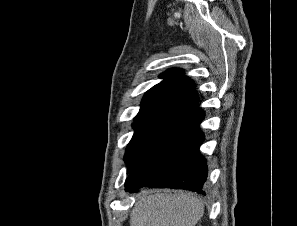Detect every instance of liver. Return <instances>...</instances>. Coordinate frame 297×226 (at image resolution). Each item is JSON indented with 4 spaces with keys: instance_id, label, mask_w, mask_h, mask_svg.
Returning <instances> with one entry per match:
<instances>
[{
    "instance_id": "obj_1",
    "label": "liver",
    "mask_w": 297,
    "mask_h": 226,
    "mask_svg": "<svg viewBox=\"0 0 297 226\" xmlns=\"http://www.w3.org/2000/svg\"><path fill=\"white\" fill-rule=\"evenodd\" d=\"M203 202L191 194H141L130 214V226H195Z\"/></svg>"
}]
</instances>
